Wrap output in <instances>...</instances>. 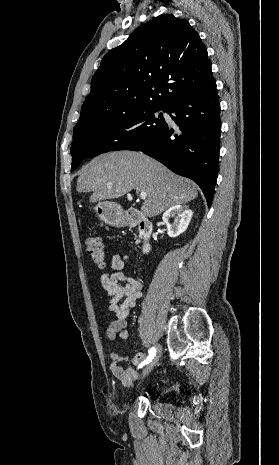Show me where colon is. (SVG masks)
Wrapping results in <instances>:
<instances>
[{
	"label": "colon",
	"instance_id": "colon-1",
	"mask_svg": "<svg viewBox=\"0 0 279 465\" xmlns=\"http://www.w3.org/2000/svg\"><path fill=\"white\" fill-rule=\"evenodd\" d=\"M86 250L90 258L99 266L105 264V252L101 239L96 236L88 237L86 240Z\"/></svg>",
	"mask_w": 279,
	"mask_h": 465
}]
</instances>
